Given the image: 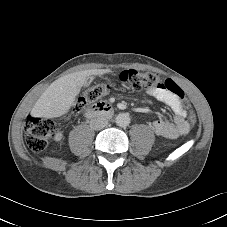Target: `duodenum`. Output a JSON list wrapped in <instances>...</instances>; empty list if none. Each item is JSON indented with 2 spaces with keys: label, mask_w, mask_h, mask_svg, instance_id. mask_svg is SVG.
Listing matches in <instances>:
<instances>
[{
  "label": "duodenum",
  "mask_w": 227,
  "mask_h": 227,
  "mask_svg": "<svg viewBox=\"0 0 227 227\" xmlns=\"http://www.w3.org/2000/svg\"><path fill=\"white\" fill-rule=\"evenodd\" d=\"M115 110L109 103L99 102L90 107H88L85 111V115L87 118H94L98 116L109 117L114 114Z\"/></svg>",
  "instance_id": "1"
}]
</instances>
